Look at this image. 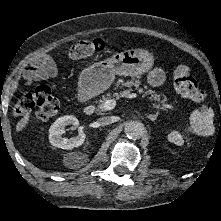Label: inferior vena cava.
Listing matches in <instances>:
<instances>
[{"label":"inferior vena cava","mask_w":221,"mask_h":221,"mask_svg":"<svg viewBox=\"0 0 221 221\" xmlns=\"http://www.w3.org/2000/svg\"><path fill=\"white\" fill-rule=\"evenodd\" d=\"M98 121L103 126L109 125L113 122L110 116L101 117Z\"/></svg>","instance_id":"inferior-vena-cava-1"}]
</instances>
